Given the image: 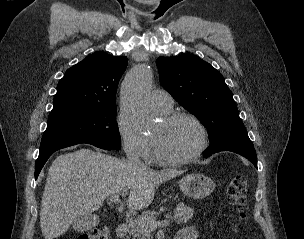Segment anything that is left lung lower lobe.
<instances>
[{"instance_id": "obj_1", "label": "left lung lower lobe", "mask_w": 304, "mask_h": 239, "mask_svg": "<svg viewBox=\"0 0 304 239\" xmlns=\"http://www.w3.org/2000/svg\"><path fill=\"white\" fill-rule=\"evenodd\" d=\"M220 151H232L238 153L244 156L245 158H247L249 161H251L254 164L255 167H257V155L254 148H231V149L219 150L215 152H205L204 156L208 157L209 155Z\"/></svg>"}]
</instances>
